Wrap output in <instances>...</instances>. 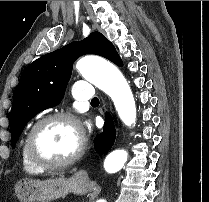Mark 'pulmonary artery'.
I'll list each match as a JSON object with an SVG mask.
<instances>
[{
	"mask_svg": "<svg viewBox=\"0 0 209 202\" xmlns=\"http://www.w3.org/2000/svg\"><path fill=\"white\" fill-rule=\"evenodd\" d=\"M74 97L77 101H91L94 96V88L86 79H80L74 83Z\"/></svg>",
	"mask_w": 209,
	"mask_h": 202,
	"instance_id": "obj_1",
	"label": "pulmonary artery"
}]
</instances>
